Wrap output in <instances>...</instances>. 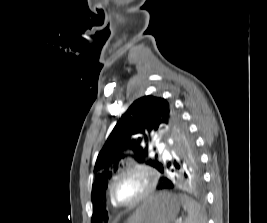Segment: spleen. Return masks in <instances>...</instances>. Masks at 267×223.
I'll list each match as a JSON object with an SVG mask.
<instances>
[{
	"label": "spleen",
	"mask_w": 267,
	"mask_h": 223,
	"mask_svg": "<svg viewBox=\"0 0 267 223\" xmlns=\"http://www.w3.org/2000/svg\"><path fill=\"white\" fill-rule=\"evenodd\" d=\"M183 208L187 210L188 217L184 223H206V215L201 206L187 195H179Z\"/></svg>",
	"instance_id": "spleen-1"
}]
</instances>
